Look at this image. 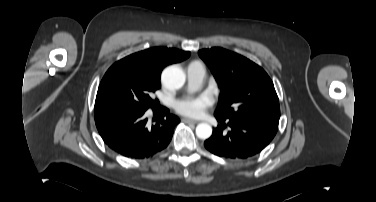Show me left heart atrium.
I'll return each instance as SVG.
<instances>
[{"label":"left heart atrium","mask_w":376,"mask_h":202,"mask_svg":"<svg viewBox=\"0 0 376 202\" xmlns=\"http://www.w3.org/2000/svg\"><path fill=\"white\" fill-rule=\"evenodd\" d=\"M213 100L207 94L196 97H188L178 101L175 109L178 113L190 117H198L203 114L205 109L211 105Z\"/></svg>","instance_id":"1"}]
</instances>
